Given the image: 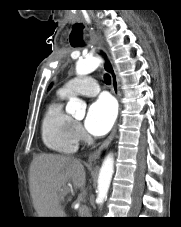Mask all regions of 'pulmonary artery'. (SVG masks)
<instances>
[{"instance_id":"1","label":"pulmonary artery","mask_w":181,"mask_h":227,"mask_svg":"<svg viewBox=\"0 0 181 227\" xmlns=\"http://www.w3.org/2000/svg\"><path fill=\"white\" fill-rule=\"evenodd\" d=\"M59 92L64 96L79 94L92 97L100 92V87L92 78H74L64 84Z\"/></svg>"}]
</instances>
